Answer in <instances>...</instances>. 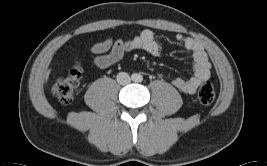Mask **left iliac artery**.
<instances>
[{"label": "left iliac artery", "mask_w": 267, "mask_h": 166, "mask_svg": "<svg viewBox=\"0 0 267 166\" xmlns=\"http://www.w3.org/2000/svg\"><path fill=\"white\" fill-rule=\"evenodd\" d=\"M139 81H142V77H139Z\"/></svg>", "instance_id": "44dca946"}]
</instances>
